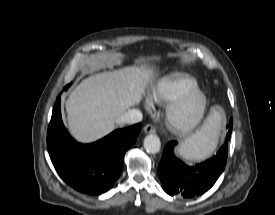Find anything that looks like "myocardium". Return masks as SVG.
I'll use <instances>...</instances> for the list:
<instances>
[{
	"label": "myocardium",
	"mask_w": 275,
	"mask_h": 215,
	"mask_svg": "<svg viewBox=\"0 0 275 215\" xmlns=\"http://www.w3.org/2000/svg\"><path fill=\"white\" fill-rule=\"evenodd\" d=\"M190 104L194 105V114L187 120L180 118V112ZM208 107V98L200 89L185 92L175 98L167 107L166 122L169 129L180 136L192 133L202 122Z\"/></svg>",
	"instance_id": "obj_1"
}]
</instances>
